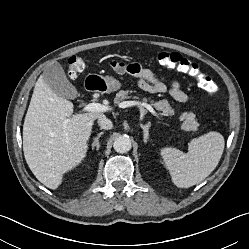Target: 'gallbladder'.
I'll return each instance as SVG.
<instances>
[{
    "label": "gallbladder",
    "mask_w": 249,
    "mask_h": 249,
    "mask_svg": "<svg viewBox=\"0 0 249 249\" xmlns=\"http://www.w3.org/2000/svg\"><path fill=\"white\" fill-rule=\"evenodd\" d=\"M42 76L48 87L58 96L68 99L77 97L78 92L76 88L69 82L62 66L58 62L48 66Z\"/></svg>",
    "instance_id": "gallbladder-1"
}]
</instances>
